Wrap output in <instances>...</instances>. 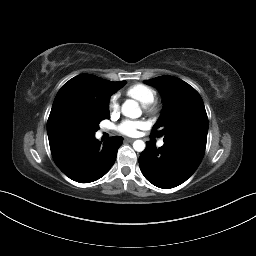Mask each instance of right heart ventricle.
Listing matches in <instances>:
<instances>
[{
    "mask_svg": "<svg viewBox=\"0 0 256 256\" xmlns=\"http://www.w3.org/2000/svg\"><path fill=\"white\" fill-rule=\"evenodd\" d=\"M125 94L140 102L142 105H147L156 98L155 90L152 87L141 83L134 84L127 88Z\"/></svg>",
    "mask_w": 256,
    "mask_h": 256,
    "instance_id": "1",
    "label": "right heart ventricle"
}]
</instances>
